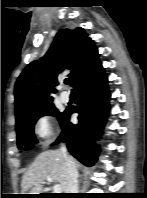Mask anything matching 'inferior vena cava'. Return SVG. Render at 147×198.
Segmentation results:
<instances>
[{"instance_id": "1", "label": "inferior vena cava", "mask_w": 147, "mask_h": 198, "mask_svg": "<svg viewBox=\"0 0 147 198\" xmlns=\"http://www.w3.org/2000/svg\"><path fill=\"white\" fill-rule=\"evenodd\" d=\"M65 158L66 166V193H78V172L72 159L67 155V149L64 145L60 148Z\"/></svg>"}]
</instances>
